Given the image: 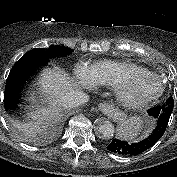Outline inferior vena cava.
<instances>
[{
    "mask_svg": "<svg viewBox=\"0 0 177 177\" xmlns=\"http://www.w3.org/2000/svg\"><path fill=\"white\" fill-rule=\"evenodd\" d=\"M89 101V95L83 91L73 90L67 93L60 100L61 105L65 108L77 107Z\"/></svg>",
    "mask_w": 177,
    "mask_h": 177,
    "instance_id": "obj_1",
    "label": "inferior vena cava"
}]
</instances>
